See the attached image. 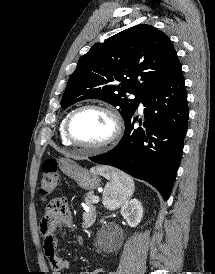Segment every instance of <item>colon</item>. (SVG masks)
I'll use <instances>...</instances> for the list:
<instances>
[{"mask_svg": "<svg viewBox=\"0 0 215 274\" xmlns=\"http://www.w3.org/2000/svg\"><path fill=\"white\" fill-rule=\"evenodd\" d=\"M60 178L57 162L54 159H46L42 165V177L40 182V193L48 196L59 186Z\"/></svg>", "mask_w": 215, "mask_h": 274, "instance_id": "1", "label": "colon"}]
</instances>
